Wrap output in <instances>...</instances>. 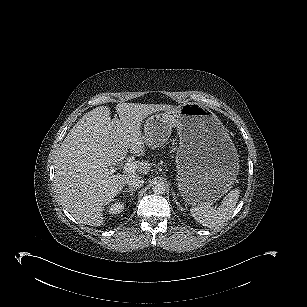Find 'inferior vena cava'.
Instances as JSON below:
<instances>
[{
	"mask_svg": "<svg viewBox=\"0 0 307 307\" xmlns=\"http://www.w3.org/2000/svg\"><path fill=\"white\" fill-rule=\"evenodd\" d=\"M127 184L130 188H140L144 184V180L140 176H132L127 180Z\"/></svg>",
	"mask_w": 307,
	"mask_h": 307,
	"instance_id": "inferior-vena-cava-1",
	"label": "inferior vena cava"
}]
</instances>
